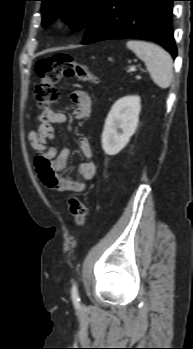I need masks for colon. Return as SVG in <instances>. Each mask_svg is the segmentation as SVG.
Returning a JSON list of instances; mask_svg holds the SVG:
<instances>
[{
  "label": "colon",
  "mask_w": 193,
  "mask_h": 349,
  "mask_svg": "<svg viewBox=\"0 0 193 349\" xmlns=\"http://www.w3.org/2000/svg\"><path fill=\"white\" fill-rule=\"evenodd\" d=\"M36 73L40 83L35 89V100L43 112H52L59 99L57 84L62 78H78L82 81L97 82L85 65L76 62L67 54H57L43 59L36 64ZM69 209L76 226L84 225L87 217V207L78 197L69 199Z\"/></svg>",
  "instance_id": "5ec220e1"
}]
</instances>
